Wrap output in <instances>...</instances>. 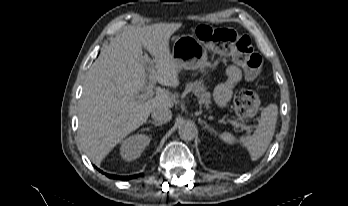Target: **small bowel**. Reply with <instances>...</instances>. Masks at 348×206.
I'll use <instances>...</instances> for the list:
<instances>
[{
	"label": "small bowel",
	"instance_id": "obj_1",
	"mask_svg": "<svg viewBox=\"0 0 348 206\" xmlns=\"http://www.w3.org/2000/svg\"><path fill=\"white\" fill-rule=\"evenodd\" d=\"M242 79L240 69L235 65H229L226 69L225 80L215 89V100L219 106H226L230 101L233 90Z\"/></svg>",
	"mask_w": 348,
	"mask_h": 206
}]
</instances>
